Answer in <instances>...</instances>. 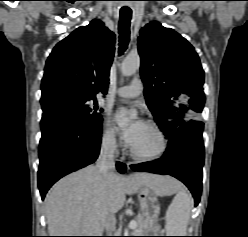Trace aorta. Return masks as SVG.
Instances as JSON below:
<instances>
[{"label":"aorta","instance_id":"aorta-1","mask_svg":"<svg viewBox=\"0 0 248 237\" xmlns=\"http://www.w3.org/2000/svg\"><path fill=\"white\" fill-rule=\"evenodd\" d=\"M140 57L138 54H131L127 56L121 65V72L124 76H131L134 73H136L137 70L140 68ZM136 117V113H132L129 117H123L119 119L118 125L123 127L126 126L130 119H133Z\"/></svg>","mask_w":248,"mask_h":237}]
</instances>
